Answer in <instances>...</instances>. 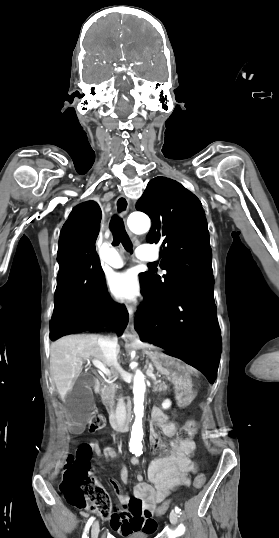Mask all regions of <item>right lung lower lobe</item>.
I'll list each match as a JSON object with an SVG mask.
<instances>
[{
	"label": "right lung lower lobe",
	"mask_w": 279,
	"mask_h": 538,
	"mask_svg": "<svg viewBox=\"0 0 279 538\" xmlns=\"http://www.w3.org/2000/svg\"><path fill=\"white\" fill-rule=\"evenodd\" d=\"M101 210L94 201L76 206L60 232L57 261L59 272L54 295L50 337L101 330L115 326L120 334L128 323L124 305L111 301L95 242Z\"/></svg>",
	"instance_id": "obj_1"
}]
</instances>
